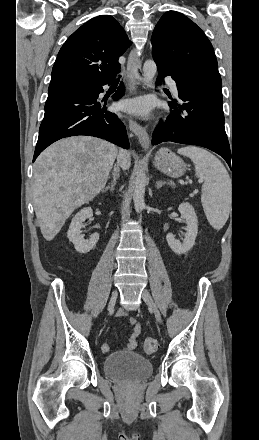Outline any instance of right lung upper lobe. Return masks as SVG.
<instances>
[{"instance_id": "cb5924a9", "label": "right lung upper lobe", "mask_w": 259, "mask_h": 440, "mask_svg": "<svg viewBox=\"0 0 259 440\" xmlns=\"http://www.w3.org/2000/svg\"><path fill=\"white\" fill-rule=\"evenodd\" d=\"M130 45L123 27L112 16L91 19L61 47L48 92L108 81L119 72L118 58Z\"/></svg>"}]
</instances>
